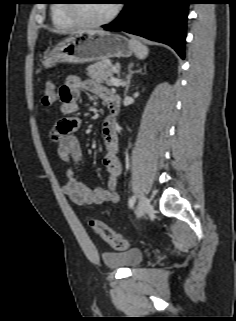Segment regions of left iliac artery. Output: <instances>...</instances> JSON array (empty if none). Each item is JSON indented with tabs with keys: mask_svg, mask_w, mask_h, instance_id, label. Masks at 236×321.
Here are the masks:
<instances>
[{
	"mask_svg": "<svg viewBox=\"0 0 236 321\" xmlns=\"http://www.w3.org/2000/svg\"><path fill=\"white\" fill-rule=\"evenodd\" d=\"M135 203V196H132L129 200V207L132 208Z\"/></svg>",
	"mask_w": 236,
	"mask_h": 321,
	"instance_id": "obj_1",
	"label": "left iliac artery"
}]
</instances>
